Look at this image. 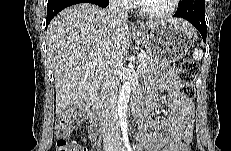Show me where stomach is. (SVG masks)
Here are the masks:
<instances>
[{
  "instance_id": "obj_1",
  "label": "stomach",
  "mask_w": 231,
  "mask_h": 151,
  "mask_svg": "<svg viewBox=\"0 0 231 151\" xmlns=\"http://www.w3.org/2000/svg\"><path fill=\"white\" fill-rule=\"evenodd\" d=\"M134 36L145 47L147 54L163 63H171L184 57L192 45L191 36L179 25L168 21L134 30Z\"/></svg>"
}]
</instances>
